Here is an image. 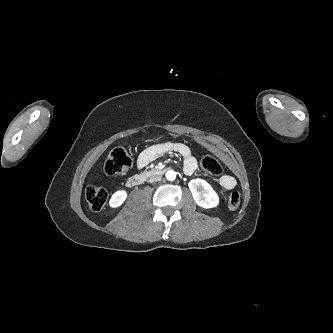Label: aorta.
Instances as JSON below:
<instances>
[{
  "label": "aorta",
  "mask_w": 333,
  "mask_h": 333,
  "mask_svg": "<svg viewBox=\"0 0 333 333\" xmlns=\"http://www.w3.org/2000/svg\"><path fill=\"white\" fill-rule=\"evenodd\" d=\"M166 179L169 181H173L176 179V172L173 170H169L166 172Z\"/></svg>",
  "instance_id": "762f6f07"
}]
</instances>
